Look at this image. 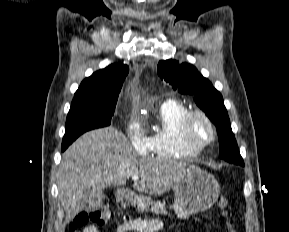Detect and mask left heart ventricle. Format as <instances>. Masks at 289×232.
<instances>
[{
  "label": "left heart ventricle",
  "mask_w": 289,
  "mask_h": 232,
  "mask_svg": "<svg viewBox=\"0 0 289 232\" xmlns=\"http://www.w3.org/2000/svg\"><path fill=\"white\" fill-rule=\"evenodd\" d=\"M191 136L198 143L209 140L211 132L207 123L200 118H195L191 124Z\"/></svg>",
  "instance_id": "left-heart-ventricle-1"
}]
</instances>
